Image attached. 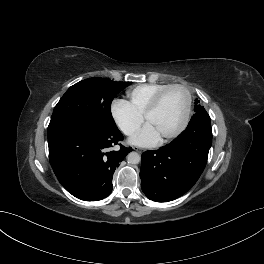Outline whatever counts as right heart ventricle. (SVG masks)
Wrapping results in <instances>:
<instances>
[{
    "label": "right heart ventricle",
    "mask_w": 264,
    "mask_h": 264,
    "mask_svg": "<svg viewBox=\"0 0 264 264\" xmlns=\"http://www.w3.org/2000/svg\"><path fill=\"white\" fill-rule=\"evenodd\" d=\"M169 84L152 83L141 84L127 91L128 103L140 115L143 116L146 108L156 94Z\"/></svg>",
    "instance_id": "1"
}]
</instances>
